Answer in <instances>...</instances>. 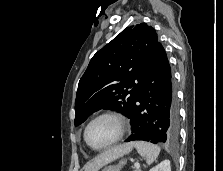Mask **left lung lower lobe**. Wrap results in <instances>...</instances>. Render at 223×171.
I'll return each mask as SVG.
<instances>
[{"instance_id": "left-lung-lower-lobe-1", "label": "left lung lower lobe", "mask_w": 223, "mask_h": 171, "mask_svg": "<svg viewBox=\"0 0 223 171\" xmlns=\"http://www.w3.org/2000/svg\"><path fill=\"white\" fill-rule=\"evenodd\" d=\"M132 134L126 142L175 143L179 111L167 55L159 43L139 87L131 115Z\"/></svg>"}]
</instances>
